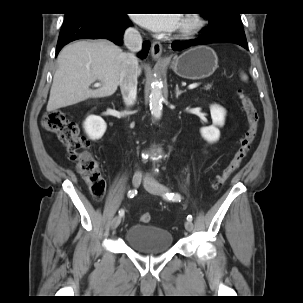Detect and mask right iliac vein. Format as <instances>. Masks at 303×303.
<instances>
[{
	"mask_svg": "<svg viewBox=\"0 0 303 303\" xmlns=\"http://www.w3.org/2000/svg\"><path fill=\"white\" fill-rule=\"evenodd\" d=\"M143 177L141 174H134L132 177V184L134 187H139V185L141 184ZM121 223V217L120 216H116L112 219L110 227L112 230L116 229L119 224Z\"/></svg>",
	"mask_w": 303,
	"mask_h": 303,
	"instance_id": "63e3f726",
	"label": "right iliac vein"
}]
</instances>
